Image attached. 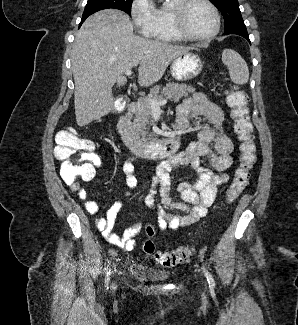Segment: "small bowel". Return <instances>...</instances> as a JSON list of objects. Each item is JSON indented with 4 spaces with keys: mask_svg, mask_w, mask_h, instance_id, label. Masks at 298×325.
Wrapping results in <instances>:
<instances>
[{
    "mask_svg": "<svg viewBox=\"0 0 298 325\" xmlns=\"http://www.w3.org/2000/svg\"><path fill=\"white\" fill-rule=\"evenodd\" d=\"M178 109H185L188 114L193 112L206 116L212 127L201 130L196 141L183 152L161 162L156 169V176L152 178L145 195V204L154 211L161 231L188 226L204 217L215 201L218 187L228 182L227 170L233 163L231 154L234 146L224 130V113L220 107L203 93H195L186 98ZM201 158L207 159L212 169L204 167ZM135 161L136 157H130L120 167L124 184L130 189L137 186ZM181 166L192 168L197 173V178L178 185L182 201L175 202L170 196V172ZM71 190L85 201L86 212L96 214L99 211L98 204L88 199V193L79 184L71 185ZM158 194L160 199L157 198ZM121 208L122 202H114L105 217L95 219V225L110 244L130 251L136 245L133 237L140 232L141 224L136 222L122 234L114 233L113 228Z\"/></svg>",
    "mask_w": 298,
    "mask_h": 325,
    "instance_id": "small-bowel-1",
    "label": "small bowel"
}]
</instances>
